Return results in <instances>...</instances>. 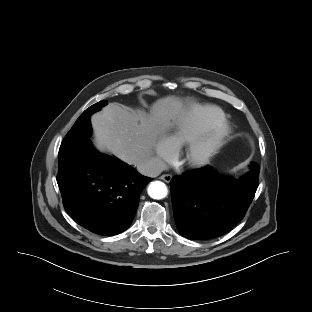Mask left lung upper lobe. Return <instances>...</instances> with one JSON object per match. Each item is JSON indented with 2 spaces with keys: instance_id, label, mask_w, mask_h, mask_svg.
I'll use <instances>...</instances> for the list:
<instances>
[{
  "instance_id": "1",
  "label": "left lung upper lobe",
  "mask_w": 312,
  "mask_h": 312,
  "mask_svg": "<svg viewBox=\"0 0 312 312\" xmlns=\"http://www.w3.org/2000/svg\"><path fill=\"white\" fill-rule=\"evenodd\" d=\"M254 164H255V162H252V163H251V165H250V166H251V168H252V166H254Z\"/></svg>"
}]
</instances>
